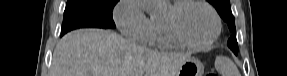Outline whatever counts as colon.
I'll list each match as a JSON object with an SVG mask.
<instances>
[{
	"mask_svg": "<svg viewBox=\"0 0 287 76\" xmlns=\"http://www.w3.org/2000/svg\"><path fill=\"white\" fill-rule=\"evenodd\" d=\"M206 76H216V74L211 71V72L207 73Z\"/></svg>",
	"mask_w": 287,
	"mask_h": 76,
	"instance_id": "obj_1",
	"label": "colon"
}]
</instances>
